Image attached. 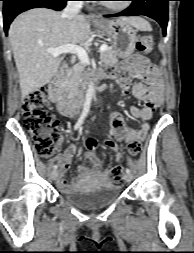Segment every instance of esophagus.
Masks as SVG:
<instances>
[{
	"label": "esophagus",
	"mask_w": 194,
	"mask_h": 253,
	"mask_svg": "<svg viewBox=\"0 0 194 253\" xmlns=\"http://www.w3.org/2000/svg\"><path fill=\"white\" fill-rule=\"evenodd\" d=\"M88 18H90L92 20H97L98 19V17L93 13H89Z\"/></svg>",
	"instance_id": "34e87169"
}]
</instances>
